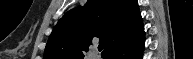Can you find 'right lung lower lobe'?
I'll return each mask as SVG.
<instances>
[{
    "mask_svg": "<svg viewBox=\"0 0 193 59\" xmlns=\"http://www.w3.org/2000/svg\"><path fill=\"white\" fill-rule=\"evenodd\" d=\"M144 48V32L124 43L105 56V59H141Z\"/></svg>",
    "mask_w": 193,
    "mask_h": 59,
    "instance_id": "right-lung-lower-lobe-1",
    "label": "right lung lower lobe"
}]
</instances>
